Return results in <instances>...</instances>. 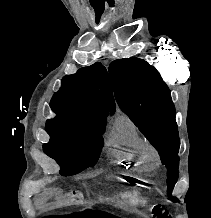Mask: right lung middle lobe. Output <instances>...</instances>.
<instances>
[{
	"mask_svg": "<svg viewBox=\"0 0 211 218\" xmlns=\"http://www.w3.org/2000/svg\"><path fill=\"white\" fill-rule=\"evenodd\" d=\"M104 130L103 122L83 123L61 118L46 122L49 144L75 146L84 150L78 161L61 163V175H74L96 164L103 146Z\"/></svg>",
	"mask_w": 211,
	"mask_h": 218,
	"instance_id": "obj_1",
	"label": "right lung middle lobe"
}]
</instances>
